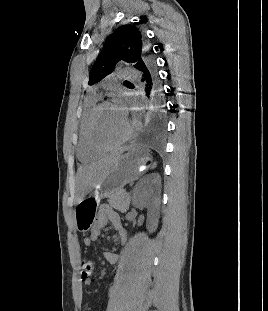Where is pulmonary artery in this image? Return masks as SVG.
I'll return each mask as SVG.
<instances>
[{
    "label": "pulmonary artery",
    "instance_id": "pulmonary-artery-1",
    "mask_svg": "<svg viewBox=\"0 0 268 311\" xmlns=\"http://www.w3.org/2000/svg\"><path fill=\"white\" fill-rule=\"evenodd\" d=\"M134 75V72L130 69H124L123 71H121L118 75L117 78H131Z\"/></svg>",
    "mask_w": 268,
    "mask_h": 311
}]
</instances>
